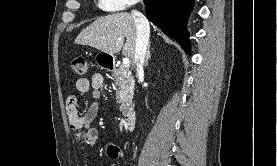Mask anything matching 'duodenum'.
Returning a JSON list of instances; mask_svg holds the SVG:
<instances>
[{"label":"duodenum","instance_id":"410a0bca","mask_svg":"<svg viewBox=\"0 0 277 166\" xmlns=\"http://www.w3.org/2000/svg\"><path fill=\"white\" fill-rule=\"evenodd\" d=\"M109 68L112 69L114 67V64L110 62L108 64ZM124 118V125L126 129L133 130L135 127V121H136V115L133 108H126L123 114Z\"/></svg>","mask_w":277,"mask_h":166}]
</instances>
